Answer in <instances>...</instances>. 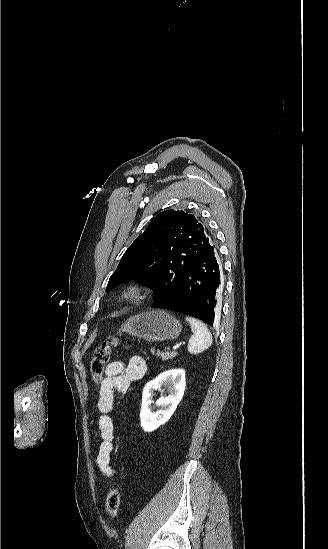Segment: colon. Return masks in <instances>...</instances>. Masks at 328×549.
<instances>
[{
	"mask_svg": "<svg viewBox=\"0 0 328 549\" xmlns=\"http://www.w3.org/2000/svg\"><path fill=\"white\" fill-rule=\"evenodd\" d=\"M119 345L118 338H111L101 342L94 350L90 363V370L93 379L96 382L101 381L105 370V365L111 357L114 348ZM120 508V492L116 486L110 488L106 500L105 510L107 514L114 518L117 516Z\"/></svg>",
	"mask_w": 328,
	"mask_h": 549,
	"instance_id": "obj_1",
	"label": "colon"
}]
</instances>
